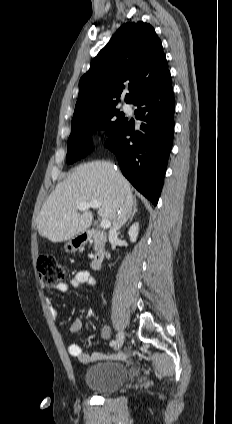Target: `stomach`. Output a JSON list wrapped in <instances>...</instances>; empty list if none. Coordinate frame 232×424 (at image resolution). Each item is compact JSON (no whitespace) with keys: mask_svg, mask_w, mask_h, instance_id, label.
Returning <instances> with one entry per match:
<instances>
[{"mask_svg":"<svg viewBox=\"0 0 232 424\" xmlns=\"http://www.w3.org/2000/svg\"><path fill=\"white\" fill-rule=\"evenodd\" d=\"M81 234L76 235L75 237H73L72 239H70L68 242L65 243L64 245V250L67 253H74L77 251L78 248H80L85 240L83 238H81Z\"/></svg>","mask_w":232,"mask_h":424,"instance_id":"stomach-1","label":"stomach"}]
</instances>
